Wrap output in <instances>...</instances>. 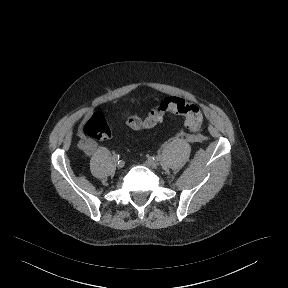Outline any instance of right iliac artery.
<instances>
[{
	"mask_svg": "<svg viewBox=\"0 0 288 288\" xmlns=\"http://www.w3.org/2000/svg\"><path fill=\"white\" fill-rule=\"evenodd\" d=\"M113 160H119V154H114L113 155Z\"/></svg>",
	"mask_w": 288,
	"mask_h": 288,
	"instance_id": "obj_1",
	"label": "right iliac artery"
}]
</instances>
